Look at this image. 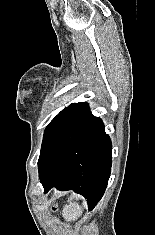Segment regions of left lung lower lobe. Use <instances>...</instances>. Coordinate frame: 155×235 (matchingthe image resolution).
<instances>
[{"mask_svg":"<svg viewBox=\"0 0 155 235\" xmlns=\"http://www.w3.org/2000/svg\"><path fill=\"white\" fill-rule=\"evenodd\" d=\"M112 145L98 117L89 115L49 155L39 170L44 192L56 187L83 195L89 209L102 198L110 177Z\"/></svg>","mask_w":155,"mask_h":235,"instance_id":"1","label":"left lung lower lobe"}]
</instances>
